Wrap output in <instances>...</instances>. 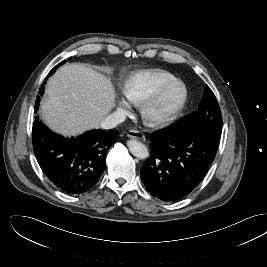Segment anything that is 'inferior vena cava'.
Instances as JSON below:
<instances>
[{
	"instance_id": "inferior-vena-cava-1",
	"label": "inferior vena cava",
	"mask_w": 267,
	"mask_h": 267,
	"mask_svg": "<svg viewBox=\"0 0 267 267\" xmlns=\"http://www.w3.org/2000/svg\"><path fill=\"white\" fill-rule=\"evenodd\" d=\"M125 118L122 112H113L101 122L100 127L103 129L115 128L118 124L124 122Z\"/></svg>"
}]
</instances>
